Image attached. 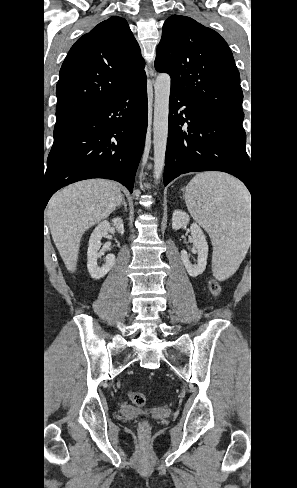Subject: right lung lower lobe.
<instances>
[{
	"label": "right lung lower lobe",
	"mask_w": 297,
	"mask_h": 488,
	"mask_svg": "<svg viewBox=\"0 0 297 488\" xmlns=\"http://www.w3.org/2000/svg\"><path fill=\"white\" fill-rule=\"evenodd\" d=\"M146 130V78L54 128L44 176V208L60 188L90 178L112 179L132 192Z\"/></svg>",
	"instance_id": "98d812e1"
}]
</instances>
